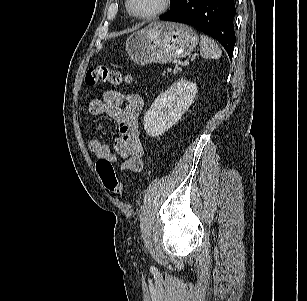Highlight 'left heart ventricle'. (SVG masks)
<instances>
[{"label":"left heart ventricle","instance_id":"obj_1","mask_svg":"<svg viewBox=\"0 0 307 301\" xmlns=\"http://www.w3.org/2000/svg\"><path fill=\"white\" fill-rule=\"evenodd\" d=\"M163 0H132L133 9L139 14H149L157 10Z\"/></svg>","mask_w":307,"mask_h":301}]
</instances>
